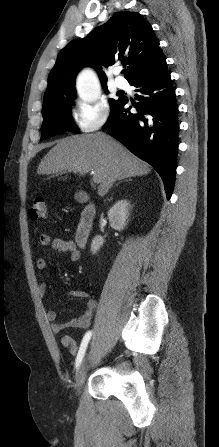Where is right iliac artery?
<instances>
[{"instance_id": "right-iliac-artery-1", "label": "right iliac artery", "mask_w": 219, "mask_h": 447, "mask_svg": "<svg viewBox=\"0 0 219 447\" xmlns=\"http://www.w3.org/2000/svg\"><path fill=\"white\" fill-rule=\"evenodd\" d=\"M92 336V331H88L85 336L83 337V340L81 342L78 354H77V358H76V363H75V367L76 369L79 367V365L81 364V361L84 357L87 345L89 343V340Z\"/></svg>"}]
</instances>
